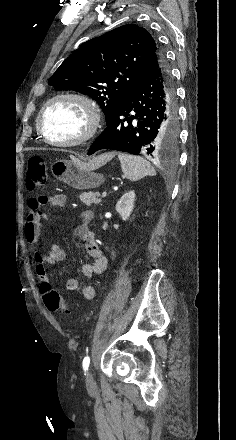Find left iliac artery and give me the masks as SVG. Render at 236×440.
Masks as SVG:
<instances>
[{"mask_svg": "<svg viewBox=\"0 0 236 440\" xmlns=\"http://www.w3.org/2000/svg\"><path fill=\"white\" fill-rule=\"evenodd\" d=\"M89 364H90V358H89V356H86L83 359V363H82L83 369H84L85 372L88 370Z\"/></svg>", "mask_w": 236, "mask_h": 440, "instance_id": "obj_1", "label": "left iliac artery"}]
</instances>
